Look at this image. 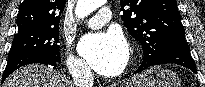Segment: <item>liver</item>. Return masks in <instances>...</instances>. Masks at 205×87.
Here are the masks:
<instances>
[{"instance_id":"obj_1","label":"liver","mask_w":205,"mask_h":87,"mask_svg":"<svg viewBox=\"0 0 205 87\" xmlns=\"http://www.w3.org/2000/svg\"><path fill=\"white\" fill-rule=\"evenodd\" d=\"M3 87H74V83L49 66L31 64L13 72Z\"/></svg>"}]
</instances>
